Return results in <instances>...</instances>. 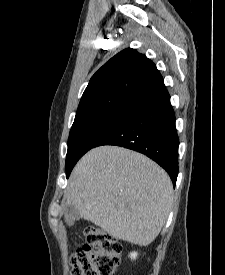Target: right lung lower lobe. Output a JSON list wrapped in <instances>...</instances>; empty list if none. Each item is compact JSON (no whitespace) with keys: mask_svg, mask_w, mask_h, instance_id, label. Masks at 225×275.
<instances>
[{"mask_svg":"<svg viewBox=\"0 0 225 275\" xmlns=\"http://www.w3.org/2000/svg\"><path fill=\"white\" fill-rule=\"evenodd\" d=\"M116 145L140 152L164 168L175 186L179 139L170 95L129 113L97 144Z\"/></svg>","mask_w":225,"mask_h":275,"instance_id":"1","label":"right lung lower lobe"}]
</instances>
